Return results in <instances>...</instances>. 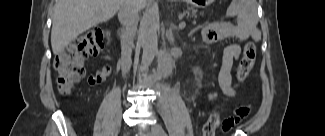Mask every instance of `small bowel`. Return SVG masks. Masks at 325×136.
<instances>
[{
  "label": "small bowel",
  "mask_w": 325,
  "mask_h": 136,
  "mask_svg": "<svg viewBox=\"0 0 325 136\" xmlns=\"http://www.w3.org/2000/svg\"><path fill=\"white\" fill-rule=\"evenodd\" d=\"M201 37L205 43H217L230 38L247 40L255 37V26L244 17L239 16L236 24H220L205 27L201 31ZM241 53L239 45L227 47L223 53L222 65L219 72V84L223 92L229 96L236 97V92L232 87L231 69L233 61L238 59ZM112 73V66L104 64L102 68L91 74L88 83L92 86L102 84ZM249 109L238 108L236 115L226 119L222 123V130L227 132L236 125L241 118L248 114Z\"/></svg>",
  "instance_id": "obj_1"
}]
</instances>
